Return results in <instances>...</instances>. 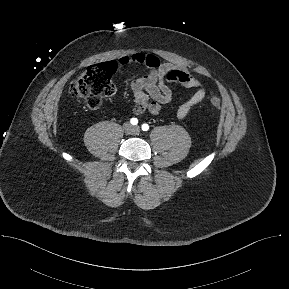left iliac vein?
<instances>
[{
  "mask_svg": "<svg viewBox=\"0 0 289 289\" xmlns=\"http://www.w3.org/2000/svg\"><path fill=\"white\" fill-rule=\"evenodd\" d=\"M134 130H135L136 132H139V130H140L139 126H135V127H134Z\"/></svg>",
  "mask_w": 289,
  "mask_h": 289,
  "instance_id": "1",
  "label": "left iliac vein"
}]
</instances>
